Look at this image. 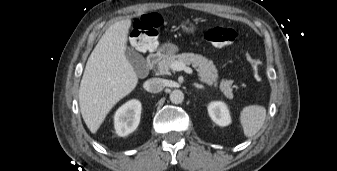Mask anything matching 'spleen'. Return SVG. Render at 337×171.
<instances>
[{
  "mask_svg": "<svg viewBox=\"0 0 337 171\" xmlns=\"http://www.w3.org/2000/svg\"><path fill=\"white\" fill-rule=\"evenodd\" d=\"M266 118V109L259 105H249L240 113V122L246 137L254 136L263 126Z\"/></svg>",
  "mask_w": 337,
  "mask_h": 171,
  "instance_id": "1",
  "label": "spleen"
}]
</instances>
